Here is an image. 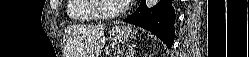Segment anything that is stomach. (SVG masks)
<instances>
[{"instance_id": "0dacf381", "label": "stomach", "mask_w": 249, "mask_h": 57, "mask_svg": "<svg viewBox=\"0 0 249 57\" xmlns=\"http://www.w3.org/2000/svg\"><path fill=\"white\" fill-rule=\"evenodd\" d=\"M137 31L132 26L116 25L110 31L112 40L116 43H126L136 35Z\"/></svg>"}]
</instances>
